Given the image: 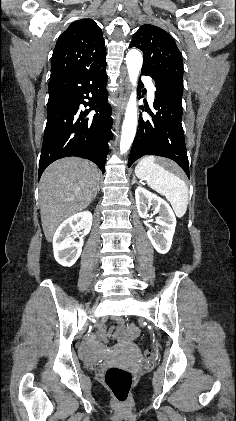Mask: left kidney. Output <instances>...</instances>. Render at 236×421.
<instances>
[{"instance_id": "5707ae66", "label": "left kidney", "mask_w": 236, "mask_h": 421, "mask_svg": "<svg viewBox=\"0 0 236 421\" xmlns=\"http://www.w3.org/2000/svg\"><path fill=\"white\" fill-rule=\"evenodd\" d=\"M135 198L137 211L142 219H147L149 211L148 206H151V204L153 206V215L159 213V217L154 221V223H156V229L149 227L147 235L157 253L165 255L172 245L176 227V217L171 206H169L166 200H163V198H160L157 194H153L150 190H146L143 186H138V188H136ZM158 231H160V233H158Z\"/></svg>"}]
</instances>
